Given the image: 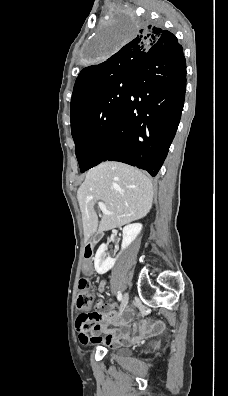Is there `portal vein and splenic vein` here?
Masks as SVG:
<instances>
[{
    "instance_id": "obj_1",
    "label": "portal vein and splenic vein",
    "mask_w": 228,
    "mask_h": 396,
    "mask_svg": "<svg viewBox=\"0 0 228 396\" xmlns=\"http://www.w3.org/2000/svg\"><path fill=\"white\" fill-rule=\"evenodd\" d=\"M98 207H99L100 210L103 212V214H106V215H113V214H114L113 212L107 210L106 205H105L104 202H102V201H99V202H98Z\"/></svg>"
}]
</instances>
